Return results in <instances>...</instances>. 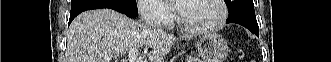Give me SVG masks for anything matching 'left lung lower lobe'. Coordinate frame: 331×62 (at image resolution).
<instances>
[{
  "label": "left lung lower lobe",
  "mask_w": 331,
  "mask_h": 62,
  "mask_svg": "<svg viewBox=\"0 0 331 62\" xmlns=\"http://www.w3.org/2000/svg\"><path fill=\"white\" fill-rule=\"evenodd\" d=\"M238 24L248 28L252 33L259 36V27H253V26H250V25L242 24V23H238Z\"/></svg>",
  "instance_id": "1"
}]
</instances>
